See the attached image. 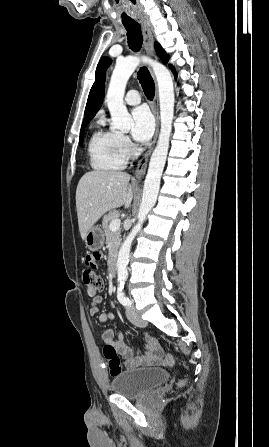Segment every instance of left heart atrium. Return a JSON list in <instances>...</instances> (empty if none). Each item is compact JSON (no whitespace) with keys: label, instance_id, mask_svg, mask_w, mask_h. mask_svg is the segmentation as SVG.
Segmentation results:
<instances>
[{"label":"left heart atrium","instance_id":"left-heart-atrium-1","mask_svg":"<svg viewBox=\"0 0 269 447\" xmlns=\"http://www.w3.org/2000/svg\"><path fill=\"white\" fill-rule=\"evenodd\" d=\"M132 136L137 142L149 140L154 132V119L146 106H140L132 112Z\"/></svg>","mask_w":269,"mask_h":447}]
</instances>
